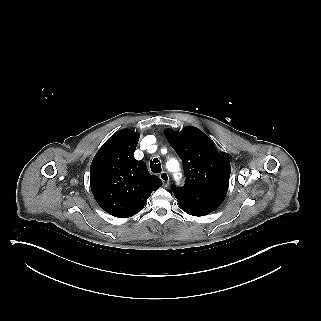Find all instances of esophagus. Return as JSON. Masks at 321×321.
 <instances>
[{
  "label": "esophagus",
  "mask_w": 321,
  "mask_h": 321,
  "mask_svg": "<svg viewBox=\"0 0 321 321\" xmlns=\"http://www.w3.org/2000/svg\"><path fill=\"white\" fill-rule=\"evenodd\" d=\"M160 179L163 181L164 186L167 187L169 183V175L167 172L163 171L160 174Z\"/></svg>",
  "instance_id": "obj_1"
}]
</instances>
